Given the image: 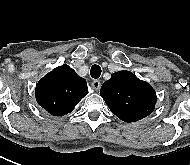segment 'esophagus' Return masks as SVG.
Listing matches in <instances>:
<instances>
[{
    "label": "esophagus",
    "mask_w": 190,
    "mask_h": 165,
    "mask_svg": "<svg viewBox=\"0 0 190 165\" xmlns=\"http://www.w3.org/2000/svg\"><path fill=\"white\" fill-rule=\"evenodd\" d=\"M100 87H101L100 81L94 80V81L92 82V88H93L95 91H99V90H100Z\"/></svg>",
    "instance_id": "esophagus-1"
}]
</instances>
